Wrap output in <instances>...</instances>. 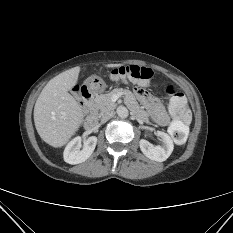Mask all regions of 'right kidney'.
I'll list each match as a JSON object with an SVG mask.
<instances>
[{
    "mask_svg": "<svg viewBox=\"0 0 233 233\" xmlns=\"http://www.w3.org/2000/svg\"><path fill=\"white\" fill-rule=\"evenodd\" d=\"M81 142L82 138L77 136L67 144L63 153L65 162L75 165L86 161L96 147L97 137L91 136L86 139L82 150H80L82 147Z\"/></svg>",
    "mask_w": 233,
    "mask_h": 233,
    "instance_id": "ca27d5eb",
    "label": "right kidney"
}]
</instances>
